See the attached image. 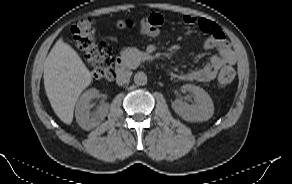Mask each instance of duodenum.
<instances>
[{
  "label": "duodenum",
  "mask_w": 292,
  "mask_h": 184,
  "mask_svg": "<svg viewBox=\"0 0 292 184\" xmlns=\"http://www.w3.org/2000/svg\"><path fill=\"white\" fill-rule=\"evenodd\" d=\"M115 69L118 77H123L125 74V64L120 57L116 58Z\"/></svg>",
  "instance_id": "duodenum-1"
}]
</instances>
